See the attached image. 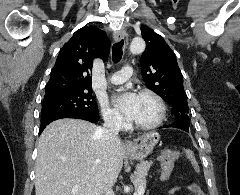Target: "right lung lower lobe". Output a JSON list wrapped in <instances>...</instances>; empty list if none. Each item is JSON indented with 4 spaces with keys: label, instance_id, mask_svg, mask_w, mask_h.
Here are the masks:
<instances>
[{
    "label": "right lung lower lobe",
    "instance_id": "1",
    "mask_svg": "<svg viewBox=\"0 0 240 195\" xmlns=\"http://www.w3.org/2000/svg\"><path fill=\"white\" fill-rule=\"evenodd\" d=\"M62 118H77V119H83L90 121L92 123H95L99 120V114H93V113H70V114H62V115H56L49 118H45L41 120L40 124V133L44 130V128L51 122L62 119Z\"/></svg>",
    "mask_w": 240,
    "mask_h": 195
}]
</instances>
